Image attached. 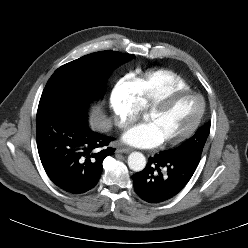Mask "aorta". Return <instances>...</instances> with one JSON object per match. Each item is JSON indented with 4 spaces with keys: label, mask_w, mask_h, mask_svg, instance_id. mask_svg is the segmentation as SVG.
I'll list each match as a JSON object with an SVG mask.
<instances>
[{
    "label": "aorta",
    "mask_w": 248,
    "mask_h": 248,
    "mask_svg": "<svg viewBox=\"0 0 248 248\" xmlns=\"http://www.w3.org/2000/svg\"><path fill=\"white\" fill-rule=\"evenodd\" d=\"M128 166L135 172L142 171L146 166V158L140 152H132L128 156Z\"/></svg>",
    "instance_id": "762f6f07"
}]
</instances>
